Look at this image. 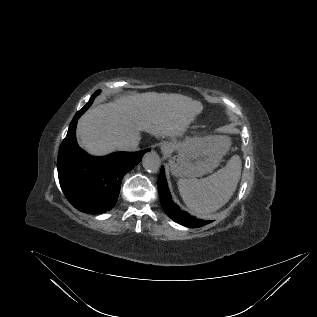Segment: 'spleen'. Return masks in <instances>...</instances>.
Masks as SVG:
<instances>
[{"label": "spleen", "instance_id": "spleen-1", "mask_svg": "<svg viewBox=\"0 0 317 317\" xmlns=\"http://www.w3.org/2000/svg\"><path fill=\"white\" fill-rule=\"evenodd\" d=\"M242 163L234 155L225 167L203 179L178 180V189L186 206L198 214L217 211L232 197L241 176Z\"/></svg>", "mask_w": 317, "mask_h": 317}]
</instances>
